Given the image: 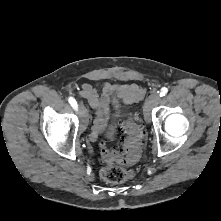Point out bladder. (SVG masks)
Instances as JSON below:
<instances>
[{
	"mask_svg": "<svg viewBox=\"0 0 221 221\" xmlns=\"http://www.w3.org/2000/svg\"><path fill=\"white\" fill-rule=\"evenodd\" d=\"M113 111L116 117L121 116V114L123 113V107L120 104V102L118 101H114L113 103Z\"/></svg>",
	"mask_w": 221,
	"mask_h": 221,
	"instance_id": "bladder-1",
	"label": "bladder"
}]
</instances>
